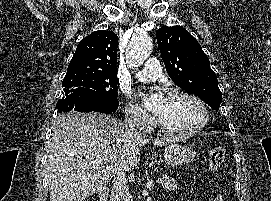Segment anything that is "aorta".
Instances as JSON below:
<instances>
[{
  "mask_svg": "<svg viewBox=\"0 0 271 201\" xmlns=\"http://www.w3.org/2000/svg\"><path fill=\"white\" fill-rule=\"evenodd\" d=\"M153 44L151 38L143 33L134 35L126 50V63L130 68H137L149 57Z\"/></svg>",
  "mask_w": 271,
  "mask_h": 201,
  "instance_id": "762f6f07",
  "label": "aorta"
}]
</instances>
